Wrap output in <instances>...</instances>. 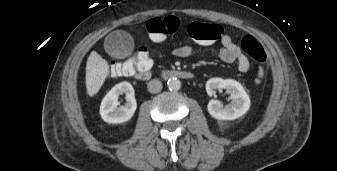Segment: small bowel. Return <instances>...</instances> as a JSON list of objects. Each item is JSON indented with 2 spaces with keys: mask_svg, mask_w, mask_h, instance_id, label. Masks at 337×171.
I'll return each mask as SVG.
<instances>
[{
  "mask_svg": "<svg viewBox=\"0 0 337 171\" xmlns=\"http://www.w3.org/2000/svg\"><path fill=\"white\" fill-rule=\"evenodd\" d=\"M195 53L193 47L189 45H179L173 50V54L179 58H188ZM217 57L226 63L236 62L239 71L246 73L250 69L248 58L241 52L238 45L234 43L229 35H224L221 38V47L215 51Z\"/></svg>",
  "mask_w": 337,
  "mask_h": 171,
  "instance_id": "c3829d8e",
  "label": "small bowel"
}]
</instances>
